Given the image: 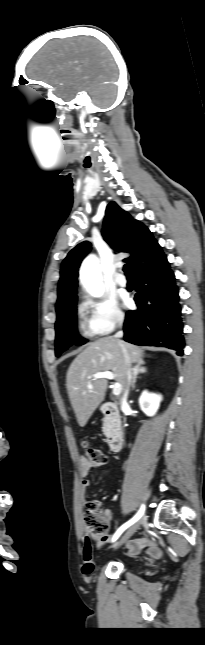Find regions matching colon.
I'll return each mask as SVG.
<instances>
[{
    "mask_svg": "<svg viewBox=\"0 0 205 645\" xmlns=\"http://www.w3.org/2000/svg\"><path fill=\"white\" fill-rule=\"evenodd\" d=\"M82 446L85 458L93 468L101 467L106 463L107 457L101 450L91 447L86 442H84ZM83 520L86 530L91 538L97 541H104L106 539L109 525L105 520L104 514L100 511L97 502L88 501L85 503Z\"/></svg>",
    "mask_w": 205,
    "mask_h": 645,
    "instance_id": "obj_1",
    "label": "colon"
}]
</instances>
